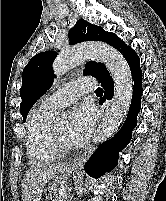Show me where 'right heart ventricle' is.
<instances>
[{
	"label": "right heart ventricle",
	"instance_id": "e07e8e85",
	"mask_svg": "<svg viewBox=\"0 0 166 201\" xmlns=\"http://www.w3.org/2000/svg\"><path fill=\"white\" fill-rule=\"evenodd\" d=\"M54 109L41 105L33 110L27 123L26 150L33 166L49 163L59 156L51 140V115Z\"/></svg>",
	"mask_w": 166,
	"mask_h": 201
}]
</instances>
